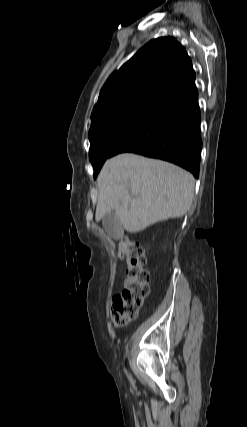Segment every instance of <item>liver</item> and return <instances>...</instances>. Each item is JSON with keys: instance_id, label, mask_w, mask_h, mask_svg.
I'll return each instance as SVG.
<instances>
[{"instance_id": "liver-1", "label": "liver", "mask_w": 247, "mask_h": 427, "mask_svg": "<svg viewBox=\"0 0 247 427\" xmlns=\"http://www.w3.org/2000/svg\"><path fill=\"white\" fill-rule=\"evenodd\" d=\"M195 180L186 170L156 159L124 153L105 162L97 178L95 219L115 211L129 233L190 209Z\"/></svg>"}]
</instances>
